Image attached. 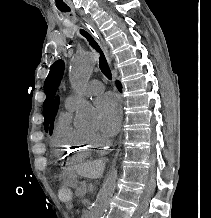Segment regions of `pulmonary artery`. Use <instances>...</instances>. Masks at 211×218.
I'll list each match as a JSON object with an SVG mask.
<instances>
[{
	"instance_id": "pulmonary-artery-1",
	"label": "pulmonary artery",
	"mask_w": 211,
	"mask_h": 218,
	"mask_svg": "<svg viewBox=\"0 0 211 218\" xmlns=\"http://www.w3.org/2000/svg\"><path fill=\"white\" fill-rule=\"evenodd\" d=\"M104 85L99 80H93L88 83L85 87V95L92 96L103 92ZM75 104V97L70 95L65 100V107L71 109L74 107Z\"/></svg>"
}]
</instances>
